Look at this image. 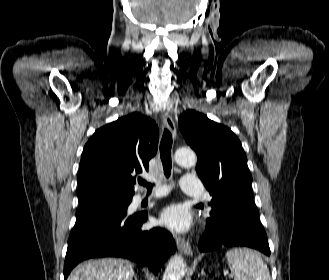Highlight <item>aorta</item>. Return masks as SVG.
<instances>
[{"label": "aorta", "mask_w": 329, "mask_h": 280, "mask_svg": "<svg viewBox=\"0 0 329 280\" xmlns=\"http://www.w3.org/2000/svg\"><path fill=\"white\" fill-rule=\"evenodd\" d=\"M175 161L180 166H193L196 155L190 149H178L175 152ZM186 265L180 255H174L165 268L162 280H182L185 275Z\"/></svg>", "instance_id": "1"}]
</instances>
